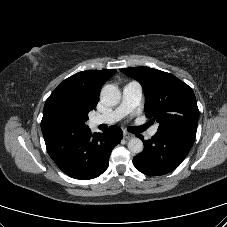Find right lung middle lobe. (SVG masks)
<instances>
[{"label":"right lung middle lobe","instance_id":"obj_1","mask_svg":"<svg viewBox=\"0 0 227 227\" xmlns=\"http://www.w3.org/2000/svg\"><path fill=\"white\" fill-rule=\"evenodd\" d=\"M88 118L83 117L73 106L55 102L44 112L42 125L45 129L55 132H74L79 130Z\"/></svg>","mask_w":227,"mask_h":227}]
</instances>
